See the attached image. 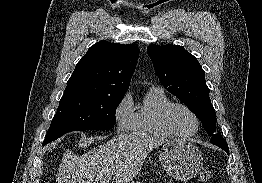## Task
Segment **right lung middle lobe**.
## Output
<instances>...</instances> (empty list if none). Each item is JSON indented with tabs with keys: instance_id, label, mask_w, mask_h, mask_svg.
<instances>
[{
	"instance_id": "obj_1",
	"label": "right lung middle lobe",
	"mask_w": 262,
	"mask_h": 183,
	"mask_svg": "<svg viewBox=\"0 0 262 183\" xmlns=\"http://www.w3.org/2000/svg\"><path fill=\"white\" fill-rule=\"evenodd\" d=\"M123 96L75 92L63 94L44 142L71 131L108 130L116 123L115 111Z\"/></svg>"
}]
</instances>
